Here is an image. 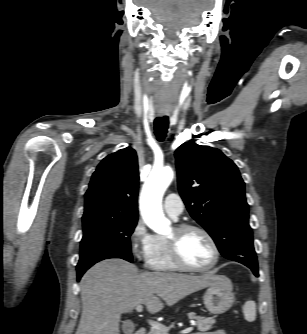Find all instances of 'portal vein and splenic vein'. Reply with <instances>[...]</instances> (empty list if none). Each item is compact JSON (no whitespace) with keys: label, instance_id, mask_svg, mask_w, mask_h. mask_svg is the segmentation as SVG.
<instances>
[{"label":"portal vein and splenic vein","instance_id":"portal-vein-and-splenic-vein-1","mask_svg":"<svg viewBox=\"0 0 307 334\" xmlns=\"http://www.w3.org/2000/svg\"><path fill=\"white\" fill-rule=\"evenodd\" d=\"M136 311L137 312H142L143 311V306L142 305H138L136 307ZM149 324L152 326L153 330L159 331V332H163L164 334L168 333L169 328L166 327L165 325L158 323L156 321L153 320H149ZM193 330V327H188L184 330L181 331L182 334H186V333H190Z\"/></svg>","mask_w":307,"mask_h":334}]
</instances>
